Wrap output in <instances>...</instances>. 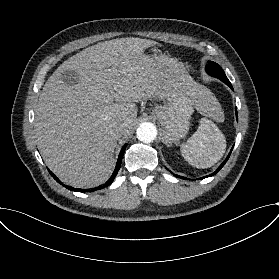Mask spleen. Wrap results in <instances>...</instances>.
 <instances>
[{
	"label": "spleen",
	"mask_w": 279,
	"mask_h": 279,
	"mask_svg": "<svg viewBox=\"0 0 279 279\" xmlns=\"http://www.w3.org/2000/svg\"><path fill=\"white\" fill-rule=\"evenodd\" d=\"M197 108L203 114L217 122L224 121V114L220 103L211 92L202 88ZM226 150V139L213 121L207 118L200 120L197 131L181 145L184 158L197 168H209L217 163Z\"/></svg>",
	"instance_id": "spleen-1"
}]
</instances>
